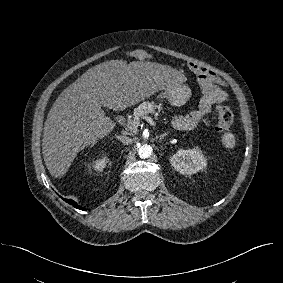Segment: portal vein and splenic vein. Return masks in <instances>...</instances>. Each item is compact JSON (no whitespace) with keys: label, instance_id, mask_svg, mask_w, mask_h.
I'll return each mask as SVG.
<instances>
[{"label":"portal vein and splenic vein","instance_id":"portal-vein-and-splenic-vein-1","mask_svg":"<svg viewBox=\"0 0 283 283\" xmlns=\"http://www.w3.org/2000/svg\"><path fill=\"white\" fill-rule=\"evenodd\" d=\"M144 119L150 124V125H152V126H155L156 124H155V122H154V120L151 118V117H148V116H145L144 117ZM127 127L129 128V129H132L133 127H136V125L134 124V123H132L131 121H127Z\"/></svg>","mask_w":283,"mask_h":283}]
</instances>
